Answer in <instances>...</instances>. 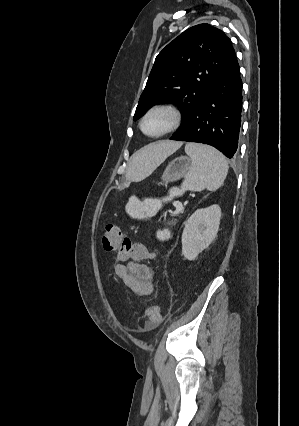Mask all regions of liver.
Here are the masks:
<instances>
[{"mask_svg":"<svg viewBox=\"0 0 299 426\" xmlns=\"http://www.w3.org/2000/svg\"><path fill=\"white\" fill-rule=\"evenodd\" d=\"M182 142L159 141L138 150L130 159L128 172L132 178L151 174L168 156L182 146Z\"/></svg>","mask_w":299,"mask_h":426,"instance_id":"liver-1","label":"liver"}]
</instances>
